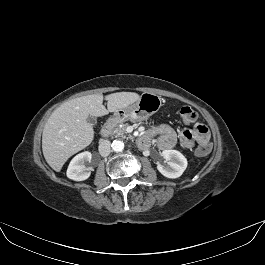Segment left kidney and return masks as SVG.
Masks as SVG:
<instances>
[{"instance_id":"left-kidney-1","label":"left kidney","mask_w":265,"mask_h":265,"mask_svg":"<svg viewBox=\"0 0 265 265\" xmlns=\"http://www.w3.org/2000/svg\"><path fill=\"white\" fill-rule=\"evenodd\" d=\"M161 155L165 159L166 164H158V171L167 178L180 177L188 164L185 156L177 150H164Z\"/></svg>"}]
</instances>
